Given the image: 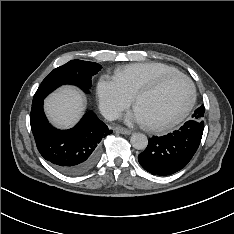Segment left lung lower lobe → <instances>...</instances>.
I'll list each match as a JSON object with an SVG mask.
<instances>
[{"mask_svg":"<svg viewBox=\"0 0 234 234\" xmlns=\"http://www.w3.org/2000/svg\"><path fill=\"white\" fill-rule=\"evenodd\" d=\"M204 130V122L187 121L179 130L162 137L153 136L147 148L138 155L140 165L154 175L173 174L192 159Z\"/></svg>","mask_w":234,"mask_h":234,"instance_id":"1","label":"left lung lower lobe"}]
</instances>
